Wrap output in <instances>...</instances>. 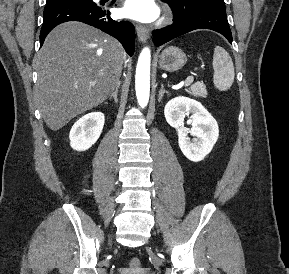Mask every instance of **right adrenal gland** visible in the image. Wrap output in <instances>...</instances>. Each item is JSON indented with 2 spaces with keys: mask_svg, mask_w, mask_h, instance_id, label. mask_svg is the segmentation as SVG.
<instances>
[{
  "mask_svg": "<svg viewBox=\"0 0 289 274\" xmlns=\"http://www.w3.org/2000/svg\"><path fill=\"white\" fill-rule=\"evenodd\" d=\"M120 85H121V82L119 81L117 86H116L115 91L109 97V100H111L113 98L115 103H118L117 95H118V90H119Z\"/></svg>",
  "mask_w": 289,
  "mask_h": 274,
  "instance_id": "2a0ac1e0",
  "label": "right adrenal gland"
}]
</instances>
